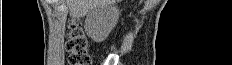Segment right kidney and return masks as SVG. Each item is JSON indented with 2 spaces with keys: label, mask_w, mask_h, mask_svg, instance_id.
I'll use <instances>...</instances> for the list:
<instances>
[{
  "label": "right kidney",
  "mask_w": 232,
  "mask_h": 65,
  "mask_svg": "<svg viewBox=\"0 0 232 65\" xmlns=\"http://www.w3.org/2000/svg\"><path fill=\"white\" fill-rule=\"evenodd\" d=\"M119 9L114 5L101 6L89 13L85 20V31L95 42L104 41L119 19Z\"/></svg>",
  "instance_id": "right-kidney-1"
}]
</instances>
